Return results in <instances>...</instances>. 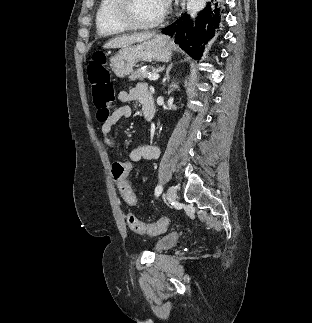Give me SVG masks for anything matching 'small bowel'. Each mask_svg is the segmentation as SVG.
<instances>
[{"instance_id":"small-bowel-1","label":"small bowel","mask_w":312,"mask_h":323,"mask_svg":"<svg viewBox=\"0 0 312 323\" xmlns=\"http://www.w3.org/2000/svg\"><path fill=\"white\" fill-rule=\"evenodd\" d=\"M149 91L145 83H138L129 90H122L118 93V100L121 103L129 102H143V97ZM133 115V109L128 105H123L115 109L110 116L106 119L101 127L102 143L109 150L111 158L116 157L113 150L114 143L110 137L112 128L121 121L129 120ZM160 154L159 148L153 145H139L130 151V161L132 163L140 162L142 160L153 161L158 159ZM128 164V163H119Z\"/></svg>"}]
</instances>
